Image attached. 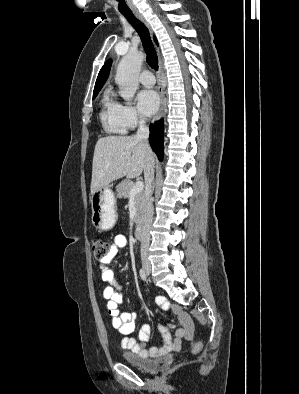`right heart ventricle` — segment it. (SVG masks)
Masks as SVG:
<instances>
[{
	"label": "right heart ventricle",
	"mask_w": 299,
	"mask_h": 394,
	"mask_svg": "<svg viewBox=\"0 0 299 394\" xmlns=\"http://www.w3.org/2000/svg\"><path fill=\"white\" fill-rule=\"evenodd\" d=\"M100 118L105 130L111 134H123L126 128L121 118L120 104L106 91L102 99Z\"/></svg>",
	"instance_id": "obj_1"
}]
</instances>
